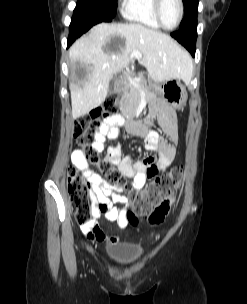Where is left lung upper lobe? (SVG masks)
Instances as JSON below:
<instances>
[{
  "label": "left lung upper lobe",
  "mask_w": 247,
  "mask_h": 304,
  "mask_svg": "<svg viewBox=\"0 0 247 304\" xmlns=\"http://www.w3.org/2000/svg\"><path fill=\"white\" fill-rule=\"evenodd\" d=\"M184 3V18L180 24V27L197 23L198 15V0H183Z\"/></svg>",
  "instance_id": "obj_1"
}]
</instances>
